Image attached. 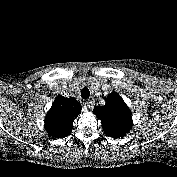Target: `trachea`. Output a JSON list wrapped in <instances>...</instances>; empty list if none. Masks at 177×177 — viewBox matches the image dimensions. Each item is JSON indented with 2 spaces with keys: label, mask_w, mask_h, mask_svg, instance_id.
<instances>
[{
  "label": "trachea",
  "mask_w": 177,
  "mask_h": 177,
  "mask_svg": "<svg viewBox=\"0 0 177 177\" xmlns=\"http://www.w3.org/2000/svg\"><path fill=\"white\" fill-rule=\"evenodd\" d=\"M89 96H90L89 89L87 87H84L81 91V97L83 99H87V98H89Z\"/></svg>",
  "instance_id": "3493384b"
}]
</instances>
